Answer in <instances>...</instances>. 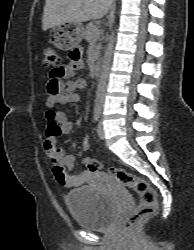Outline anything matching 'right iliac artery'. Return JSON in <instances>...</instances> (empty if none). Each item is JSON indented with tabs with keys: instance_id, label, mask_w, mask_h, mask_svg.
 <instances>
[{
	"instance_id": "right-iliac-artery-1",
	"label": "right iliac artery",
	"mask_w": 194,
	"mask_h": 250,
	"mask_svg": "<svg viewBox=\"0 0 194 250\" xmlns=\"http://www.w3.org/2000/svg\"><path fill=\"white\" fill-rule=\"evenodd\" d=\"M93 118H94V122H98L100 119V113H95Z\"/></svg>"
}]
</instances>
